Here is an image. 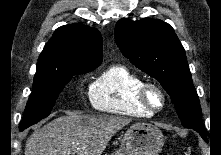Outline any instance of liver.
I'll return each instance as SVG.
<instances>
[{"label": "liver", "instance_id": "6515ba94", "mask_svg": "<svg viewBox=\"0 0 221 155\" xmlns=\"http://www.w3.org/2000/svg\"><path fill=\"white\" fill-rule=\"evenodd\" d=\"M131 119L109 115L67 114L35 132L25 155H101L112 136Z\"/></svg>", "mask_w": 221, "mask_h": 155}]
</instances>
